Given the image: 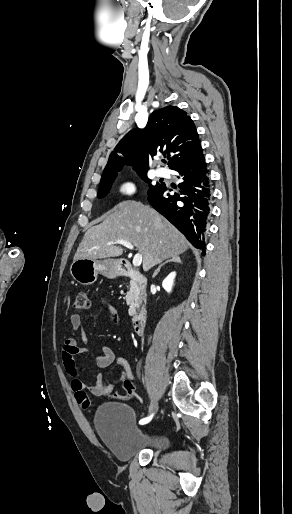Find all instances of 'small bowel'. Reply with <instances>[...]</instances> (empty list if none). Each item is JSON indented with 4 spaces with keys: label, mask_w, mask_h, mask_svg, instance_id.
I'll use <instances>...</instances> for the list:
<instances>
[{
    "label": "small bowel",
    "mask_w": 292,
    "mask_h": 514,
    "mask_svg": "<svg viewBox=\"0 0 292 514\" xmlns=\"http://www.w3.org/2000/svg\"><path fill=\"white\" fill-rule=\"evenodd\" d=\"M96 303L106 311L109 318L116 321L119 320V315L115 306L106 298L98 297L96 299ZM69 324L72 336L67 338L63 343L62 363L65 371L71 377V388L75 393L77 402L82 406V409L85 412H88L91 409L89 397L90 395L94 397H103L109 395L110 397H108V400L113 398L115 402H129L131 397L135 396L134 392L128 393V395L122 393L121 395L120 392L112 391L118 384H131V381H133L134 373L129 361L125 357H116L114 351L106 345L100 347L102 352L101 354H95L88 349L79 346L78 333L80 331L81 341L84 344L88 343V337L82 330V318L79 314H72L70 316ZM77 355H84L88 357L96 366L100 368H105L112 365L113 363H116L119 370L118 378L111 383H106L101 375H95L94 384L90 386L85 385V383L79 377V371L76 366L75 357Z\"/></svg>",
    "instance_id": "obj_1"
}]
</instances>
